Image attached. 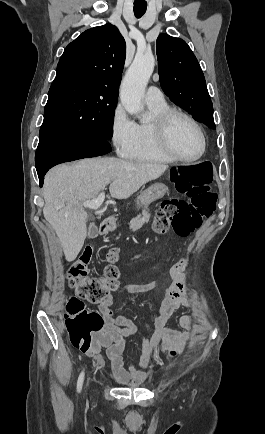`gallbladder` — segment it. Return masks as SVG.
I'll use <instances>...</instances> for the list:
<instances>
[{"mask_svg":"<svg viewBox=\"0 0 265 434\" xmlns=\"http://www.w3.org/2000/svg\"><path fill=\"white\" fill-rule=\"evenodd\" d=\"M88 218H94L91 214H88ZM90 232L88 233L89 238L95 239L98 236V226L95 223L90 224L89 226Z\"/></svg>","mask_w":265,"mask_h":434,"instance_id":"1","label":"gallbladder"}]
</instances>
